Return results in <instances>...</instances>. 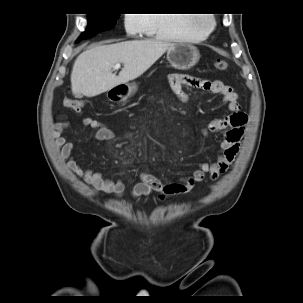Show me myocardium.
Instances as JSON below:
<instances>
[{"instance_id":"1","label":"myocardium","mask_w":303,"mask_h":303,"mask_svg":"<svg viewBox=\"0 0 303 303\" xmlns=\"http://www.w3.org/2000/svg\"><path fill=\"white\" fill-rule=\"evenodd\" d=\"M204 21H208L209 23V26L206 29H203L201 27V24ZM193 25H194V30L196 31L199 37H207L216 28V18L213 15H209L205 18L193 16Z\"/></svg>"}]
</instances>
